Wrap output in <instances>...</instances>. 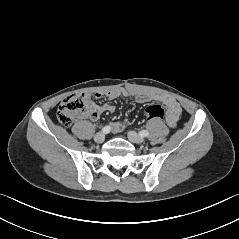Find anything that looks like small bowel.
<instances>
[{
	"instance_id": "1",
	"label": "small bowel",
	"mask_w": 239,
	"mask_h": 239,
	"mask_svg": "<svg viewBox=\"0 0 239 239\" xmlns=\"http://www.w3.org/2000/svg\"><path fill=\"white\" fill-rule=\"evenodd\" d=\"M107 96L109 99H116L121 96L124 97H131L133 96L131 93L127 91H121L118 89L115 90H110L105 92L104 94L102 93H96L95 97L100 98L101 96ZM135 99L138 103H145L148 101H158L161 102L166 108V116L165 120L166 123L168 124L169 127H175L180 115H181V107L179 103L170 96L167 95H155V94H150V95H136ZM115 111V106L109 103L105 104H99L95 107V112L90 116L91 120H97L99 118V115L104 112H109L112 113ZM113 132L119 133L124 130L125 124L122 121H117L111 124V127Z\"/></svg>"
}]
</instances>
